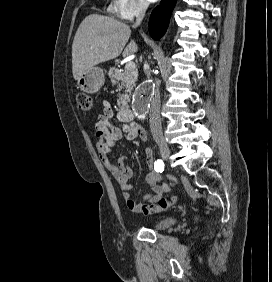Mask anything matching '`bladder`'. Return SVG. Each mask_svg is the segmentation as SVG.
I'll use <instances>...</instances> for the list:
<instances>
[{
    "instance_id": "bladder-1",
    "label": "bladder",
    "mask_w": 272,
    "mask_h": 282,
    "mask_svg": "<svg viewBox=\"0 0 272 282\" xmlns=\"http://www.w3.org/2000/svg\"><path fill=\"white\" fill-rule=\"evenodd\" d=\"M176 222V217H165L152 225V229H162L169 227Z\"/></svg>"
}]
</instances>
